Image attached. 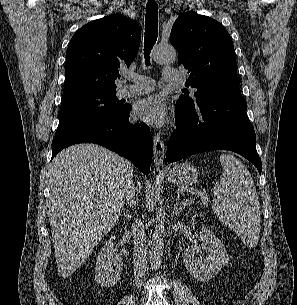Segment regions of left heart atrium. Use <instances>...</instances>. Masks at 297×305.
Segmentation results:
<instances>
[{
	"instance_id": "left-heart-atrium-1",
	"label": "left heart atrium",
	"mask_w": 297,
	"mask_h": 305,
	"mask_svg": "<svg viewBox=\"0 0 297 305\" xmlns=\"http://www.w3.org/2000/svg\"><path fill=\"white\" fill-rule=\"evenodd\" d=\"M135 117L150 126H162L168 120L166 104L158 95L140 100L134 108Z\"/></svg>"
}]
</instances>
